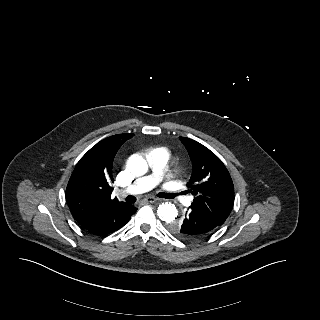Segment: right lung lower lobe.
<instances>
[{
	"label": "right lung lower lobe",
	"instance_id": "right-lung-lower-lobe-1",
	"mask_svg": "<svg viewBox=\"0 0 320 320\" xmlns=\"http://www.w3.org/2000/svg\"><path fill=\"white\" fill-rule=\"evenodd\" d=\"M137 211L128 203L110 207L78 222L83 230L96 236H106L122 228Z\"/></svg>",
	"mask_w": 320,
	"mask_h": 320
}]
</instances>
